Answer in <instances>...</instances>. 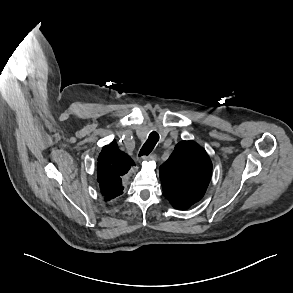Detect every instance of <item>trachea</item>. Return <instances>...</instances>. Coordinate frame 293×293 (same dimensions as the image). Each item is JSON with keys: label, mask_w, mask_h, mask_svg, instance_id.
<instances>
[{"label": "trachea", "mask_w": 293, "mask_h": 293, "mask_svg": "<svg viewBox=\"0 0 293 293\" xmlns=\"http://www.w3.org/2000/svg\"><path fill=\"white\" fill-rule=\"evenodd\" d=\"M158 140H159V134L155 131L151 132L148 137V140L142 146V148L139 152V156L149 155V153L153 150V148L157 144Z\"/></svg>", "instance_id": "1"}]
</instances>
